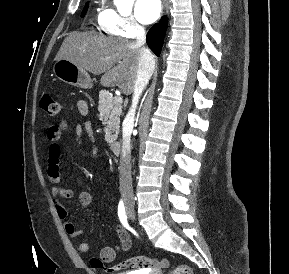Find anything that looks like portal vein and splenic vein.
<instances>
[{
    "mask_svg": "<svg viewBox=\"0 0 289 274\" xmlns=\"http://www.w3.org/2000/svg\"><path fill=\"white\" fill-rule=\"evenodd\" d=\"M118 102H122V97H116Z\"/></svg>",
    "mask_w": 289,
    "mask_h": 274,
    "instance_id": "18ae733b",
    "label": "portal vein and splenic vein"
}]
</instances>
